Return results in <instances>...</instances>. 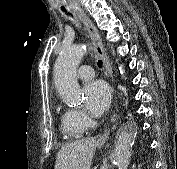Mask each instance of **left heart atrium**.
<instances>
[{
    "instance_id": "1",
    "label": "left heart atrium",
    "mask_w": 177,
    "mask_h": 169,
    "mask_svg": "<svg viewBox=\"0 0 177 169\" xmlns=\"http://www.w3.org/2000/svg\"><path fill=\"white\" fill-rule=\"evenodd\" d=\"M85 106L93 116L102 115L109 107L111 92L109 86L102 80L88 82L83 89Z\"/></svg>"
}]
</instances>
